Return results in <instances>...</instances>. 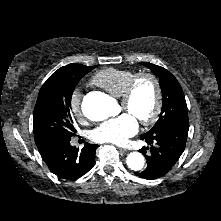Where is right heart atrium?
I'll return each instance as SVG.
<instances>
[{
	"instance_id": "1",
	"label": "right heart atrium",
	"mask_w": 221,
	"mask_h": 221,
	"mask_svg": "<svg viewBox=\"0 0 221 221\" xmlns=\"http://www.w3.org/2000/svg\"><path fill=\"white\" fill-rule=\"evenodd\" d=\"M81 101H82V94L80 90L74 89L70 95L69 107L72 114L79 120H82L84 117V113L81 107Z\"/></svg>"
}]
</instances>
